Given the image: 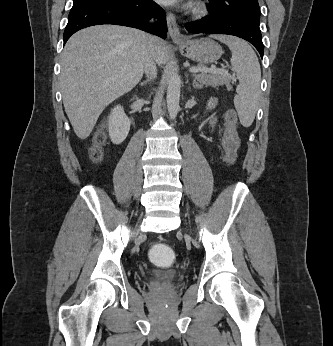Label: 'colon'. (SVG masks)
<instances>
[{"label":"colon","mask_w":333,"mask_h":346,"mask_svg":"<svg viewBox=\"0 0 333 346\" xmlns=\"http://www.w3.org/2000/svg\"><path fill=\"white\" fill-rule=\"evenodd\" d=\"M103 140V136H98L96 143L90 148V157L94 161H99L102 158L101 143ZM222 147L224 149V161L227 164H234L239 148L236 115L234 112H229L226 116V128L222 136ZM174 257L170 244H155L149 254V259L154 260V268H171Z\"/></svg>","instance_id":"1"}]
</instances>
